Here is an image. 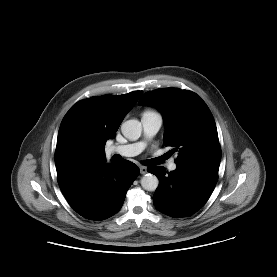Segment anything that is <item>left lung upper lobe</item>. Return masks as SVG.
Segmentation results:
<instances>
[{"label":"left lung upper lobe","instance_id":"left-lung-upper-lobe-1","mask_svg":"<svg viewBox=\"0 0 277 277\" xmlns=\"http://www.w3.org/2000/svg\"><path fill=\"white\" fill-rule=\"evenodd\" d=\"M139 105L162 111L166 129L163 144L178 153L177 166L197 163L219 164L221 148L214 118L206 103L195 93L176 88L145 93Z\"/></svg>","mask_w":277,"mask_h":277}]
</instances>
